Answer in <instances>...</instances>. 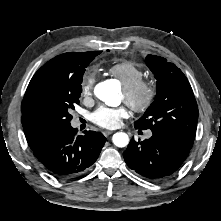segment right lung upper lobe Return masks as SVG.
<instances>
[{
  "label": "right lung upper lobe",
  "mask_w": 221,
  "mask_h": 221,
  "mask_svg": "<svg viewBox=\"0 0 221 221\" xmlns=\"http://www.w3.org/2000/svg\"><path fill=\"white\" fill-rule=\"evenodd\" d=\"M96 51L69 52L44 64L31 79L22 101V125L30 148L35 147L58 130L45 122L37 112V97L42 88L64 79L77 77L83 58Z\"/></svg>",
  "instance_id": "1"
}]
</instances>
